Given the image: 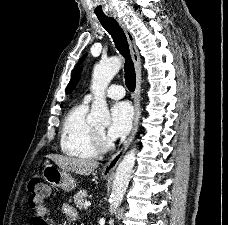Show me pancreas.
Segmentation results:
<instances>
[{
  "label": "pancreas",
  "mask_w": 228,
  "mask_h": 225,
  "mask_svg": "<svg viewBox=\"0 0 228 225\" xmlns=\"http://www.w3.org/2000/svg\"><path fill=\"white\" fill-rule=\"evenodd\" d=\"M85 197H87V191H78L76 195H74V203L79 207V209H82L85 201Z\"/></svg>",
  "instance_id": "cf45deb5"
}]
</instances>
